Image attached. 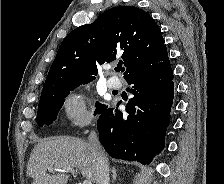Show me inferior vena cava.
I'll use <instances>...</instances> for the list:
<instances>
[{"label":"inferior vena cava","mask_w":224,"mask_h":184,"mask_svg":"<svg viewBox=\"0 0 224 184\" xmlns=\"http://www.w3.org/2000/svg\"><path fill=\"white\" fill-rule=\"evenodd\" d=\"M88 144L96 161V184H109V164L95 131H91Z\"/></svg>","instance_id":"1"}]
</instances>
